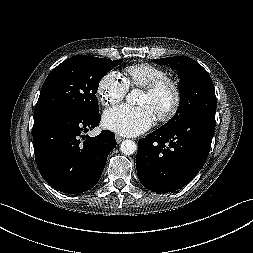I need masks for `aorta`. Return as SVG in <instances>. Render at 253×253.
Masks as SVG:
<instances>
[{
	"label": "aorta",
	"instance_id": "1",
	"mask_svg": "<svg viewBox=\"0 0 253 253\" xmlns=\"http://www.w3.org/2000/svg\"><path fill=\"white\" fill-rule=\"evenodd\" d=\"M140 94H141V92L139 89H133L126 96V101L130 105H135L138 101V97L140 96ZM120 150L125 155H132L137 151V145L134 141L126 139L121 143Z\"/></svg>",
	"mask_w": 253,
	"mask_h": 253
}]
</instances>
